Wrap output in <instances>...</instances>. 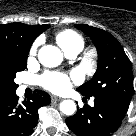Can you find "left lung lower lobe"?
Returning a JSON list of instances; mask_svg holds the SVG:
<instances>
[{
  "label": "left lung lower lobe",
  "mask_w": 136,
  "mask_h": 136,
  "mask_svg": "<svg viewBox=\"0 0 136 136\" xmlns=\"http://www.w3.org/2000/svg\"><path fill=\"white\" fill-rule=\"evenodd\" d=\"M129 102L120 97H95L93 107L84 105L66 123L80 136H110L124 119Z\"/></svg>",
  "instance_id": "left-lung-lower-lobe-1"
}]
</instances>
